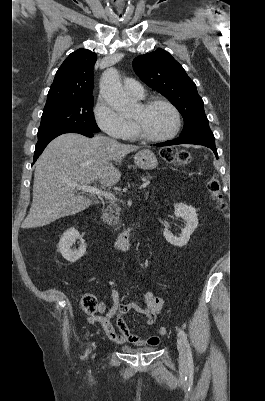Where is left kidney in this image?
<instances>
[{"label": "left kidney", "mask_w": 265, "mask_h": 401, "mask_svg": "<svg viewBox=\"0 0 265 401\" xmlns=\"http://www.w3.org/2000/svg\"><path fill=\"white\" fill-rule=\"evenodd\" d=\"M175 217H181L186 221L184 229H181L182 233L180 237H174L173 233H170L168 229H164L163 235L171 245H175V247H184L187 245L190 235L194 233L197 225H198V215L196 209L194 207H188V205H184V203H177L174 207Z\"/></svg>", "instance_id": "5707ae66"}]
</instances>
